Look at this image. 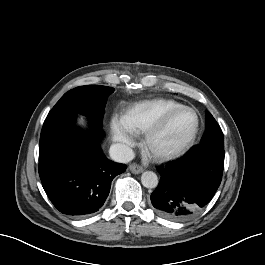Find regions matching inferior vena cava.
Instances as JSON below:
<instances>
[{
	"instance_id": "obj_1",
	"label": "inferior vena cava",
	"mask_w": 265,
	"mask_h": 265,
	"mask_svg": "<svg viewBox=\"0 0 265 265\" xmlns=\"http://www.w3.org/2000/svg\"><path fill=\"white\" fill-rule=\"evenodd\" d=\"M112 160L119 163H128L135 157L133 150L121 143L112 144L109 149Z\"/></svg>"
}]
</instances>
